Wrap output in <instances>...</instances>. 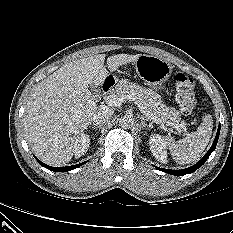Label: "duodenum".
I'll return each instance as SVG.
<instances>
[{
  "label": "duodenum",
  "mask_w": 233,
  "mask_h": 233,
  "mask_svg": "<svg viewBox=\"0 0 233 233\" xmlns=\"http://www.w3.org/2000/svg\"><path fill=\"white\" fill-rule=\"evenodd\" d=\"M113 85H114V80L112 78H106L102 83V91L104 93L109 92L110 89L113 87Z\"/></svg>",
  "instance_id": "obj_1"
}]
</instances>
